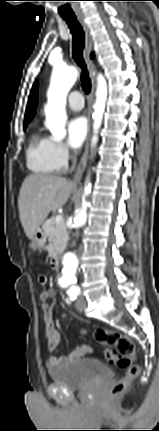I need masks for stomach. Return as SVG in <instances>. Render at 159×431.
<instances>
[{"label":"stomach","mask_w":159,"mask_h":431,"mask_svg":"<svg viewBox=\"0 0 159 431\" xmlns=\"http://www.w3.org/2000/svg\"><path fill=\"white\" fill-rule=\"evenodd\" d=\"M45 242H46V235L40 229L31 238V241L29 243V248L32 249V250L42 249L44 247V245H45Z\"/></svg>","instance_id":"stomach-1"}]
</instances>
